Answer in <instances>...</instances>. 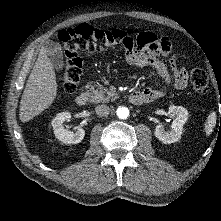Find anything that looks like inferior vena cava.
Listing matches in <instances>:
<instances>
[{"label": "inferior vena cava", "mask_w": 221, "mask_h": 221, "mask_svg": "<svg viewBox=\"0 0 221 221\" xmlns=\"http://www.w3.org/2000/svg\"><path fill=\"white\" fill-rule=\"evenodd\" d=\"M97 115L99 116H107L110 112V108L107 105H98L95 108Z\"/></svg>", "instance_id": "602c4592"}]
</instances>
